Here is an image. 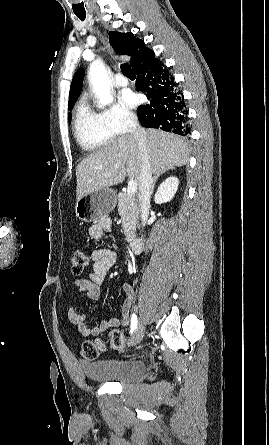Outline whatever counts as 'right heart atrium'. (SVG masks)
<instances>
[{"label":"right heart atrium","mask_w":269,"mask_h":445,"mask_svg":"<svg viewBox=\"0 0 269 445\" xmlns=\"http://www.w3.org/2000/svg\"><path fill=\"white\" fill-rule=\"evenodd\" d=\"M100 115L114 136L127 133L136 122L135 114L120 102H113Z\"/></svg>","instance_id":"d8ad5b80"}]
</instances>
